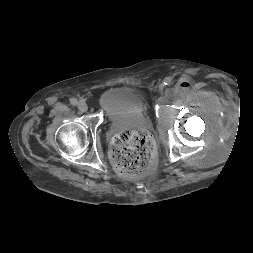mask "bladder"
I'll list each match as a JSON object with an SVG mask.
<instances>
[{
  "instance_id": "31cf9c89",
  "label": "bladder",
  "mask_w": 253,
  "mask_h": 253,
  "mask_svg": "<svg viewBox=\"0 0 253 253\" xmlns=\"http://www.w3.org/2000/svg\"><path fill=\"white\" fill-rule=\"evenodd\" d=\"M98 105L108 117L113 118L145 112L147 99L138 87L118 85L106 89L100 95Z\"/></svg>"
}]
</instances>
